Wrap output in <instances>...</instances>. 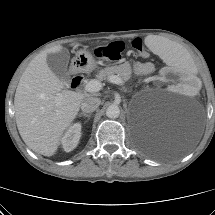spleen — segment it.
Instances as JSON below:
<instances>
[{"label": "spleen", "instance_id": "spleen-1", "mask_svg": "<svg viewBox=\"0 0 215 215\" xmlns=\"http://www.w3.org/2000/svg\"><path fill=\"white\" fill-rule=\"evenodd\" d=\"M145 44L151 48L158 57L165 62L178 68L181 72L192 74L196 70V65L191 61L185 50L176 43L165 39H159L154 35H149L145 39Z\"/></svg>", "mask_w": 215, "mask_h": 215}]
</instances>
